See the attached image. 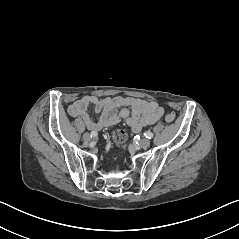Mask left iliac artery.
<instances>
[{
    "label": "left iliac artery",
    "instance_id": "left-iliac-artery-1",
    "mask_svg": "<svg viewBox=\"0 0 239 239\" xmlns=\"http://www.w3.org/2000/svg\"><path fill=\"white\" fill-rule=\"evenodd\" d=\"M144 135H145L146 138H149V139L153 138V133L150 132V131H146V132L144 133Z\"/></svg>",
    "mask_w": 239,
    "mask_h": 239
}]
</instances>
